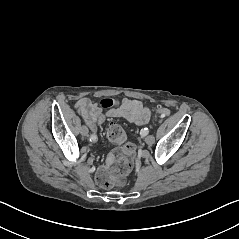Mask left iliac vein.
<instances>
[{
	"mask_svg": "<svg viewBox=\"0 0 239 239\" xmlns=\"http://www.w3.org/2000/svg\"><path fill=\"white\" fill-rule=\"evenodd\" d=\"M145 142L148 144V145H152L154 142H155V138L154 136L152 135H149L145 138Z\"/></svg>",
	"mask_w": 239,
	"mask_h": 239,
	"instance_id": "obj_1",
	"label": "left iliac vein"
}]
</instances>
